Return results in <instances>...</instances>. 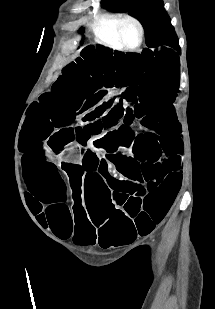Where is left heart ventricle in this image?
Returning a JSON list of instances; mask_svg holds the SVG:
<instances>
[{
	"label": "left heart ventricle",
	"instance_id": "obj_1",
	"mask_svg": "<svg viewBox=\"0 0 215 309\" xmlns=\"http://www.w3.org/2000/svg\"><path fill=\"white\" fill-rule=\"evenodd\" d=\"M119 33H122L123 45L132 46L137 42V31L134 26L126 24Z\"/></svg>",
	"mask_w": 215,
	"mask_h": 309
}]
</instances>
